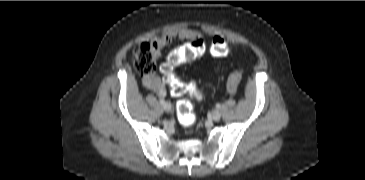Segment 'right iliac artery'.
<instances>
[{
    "instance_id": "1",
    "label": "right iliac artery",
    "mask_w": 365,
    "mask_h": 180,
    "mask_svg": "<svg viewBox=\"0 0 365 180\" xmlns=\"http://www.w3.org/2000/svg\"><path fill=\"white\" fill-rule=\"evenodd\" d=\"M159 102H160V104H162V105H163L165 101H164V99L160 98V99H159Z\"/></svg>"
}]
</instances>
